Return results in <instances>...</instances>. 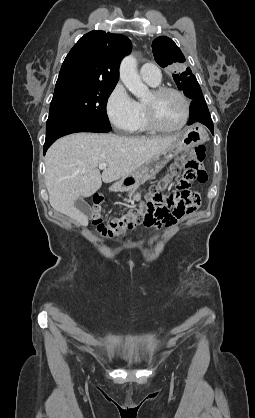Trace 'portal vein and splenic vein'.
I'll use <instances>...</instances> for the list:
<instances>
[{
  "label": "portal vein and splenic vein",
  "instance_id": "portal-vein-and-splenic-vein-1",
  "mask_svg": "<svg viewBox=\"0 0 255 418\" xmlns=\"http://www.w3.org/2000/svg\"><path fill=\"white\" fill-rule=\"evenodd\" d=\"M107 167V164L106 163H102V164H100L99 165V169L100 170H103V169H105Z\"/></svg>",
  "mask_w": 255,
  "mask_h": 418
}]
</instances>
